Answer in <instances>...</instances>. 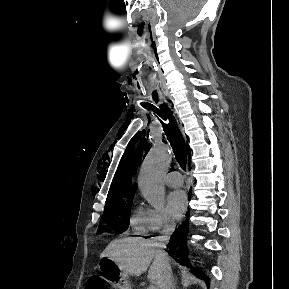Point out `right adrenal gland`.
Returning a JSON list of instances; mask_svg holds the SVG:
<instances>
[{
  "label": "right adrenal gland",
  "instance_id": "obj_1",
  "mask_svg": "<svg viewBox=\"0 0 289 289\" xmlns=\"http://www.w3.org/2000/svg\"><path fill=\"white\" fill-rule=\"evenodd\" d=\"M172 289H176V288H175V282L173 283V287H172Z\"/></svg>",
  "mask_w": 289,
  "mask_h": 289
}]
</instances>
